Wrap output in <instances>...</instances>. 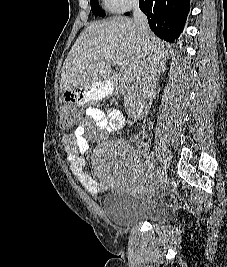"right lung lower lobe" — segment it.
Masks as SVG:
<instances>
[{
  "label": "right lung lower lobe",
  "mask_w": 227,
  "mask_h": 267,
  "mask_svg": "<svg viewBox=\"0 0 227 267\" xmlns=\"http://www.w3.org/2000/svg\"><path fill=\"white\" fill-rule=\"evenodd\" d=\"M189 3L190 0H140L139 7L147 15L151 30L172 43L183 30Z\"/></svg>",
  "instance_id": "obj_1"
}]
</instances>
